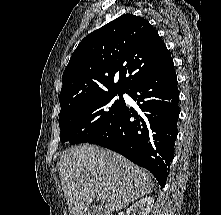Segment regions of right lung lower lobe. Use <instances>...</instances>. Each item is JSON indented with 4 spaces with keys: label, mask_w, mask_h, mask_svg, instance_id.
Masks as SVG:
<instances>
[{
    "label": "right lung lower lobe",
    "mask_w": 221,
    "mask_h": 215,
    "mask_svg": "<svg viewBox=\"0 0 221 215\" xmlns=\"http://www.w3.org/2000/svg\"><path fill=\"white\" fill-rule=\"evenodd\" d=\"M127 94L137 102L140 111L125 105L111 129L88 143L116 151L148 169L162 188L173 158L179 116L173 59L135 83Z\"/></svg>",
    "instance_id": "1"
}]
</instances>
